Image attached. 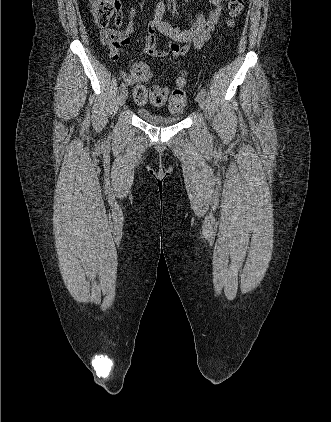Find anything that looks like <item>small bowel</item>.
I'll use <instances>...</instances> for the list:
<instances>
[{
  "label": "small bowel",
  "instance_id": "small-bowel-1",
  "mask_svg": "<svg viewBox=\"0 0 331 422\" xmlns=\"http://www.w3.org/2000/svg\"><path fill=\"white\" fill-rule=\"evenodd\" d=\"M225 1L226 0H209L213 6L212 11L207 17L203 14H197L194 24L185 30L174 29L168 23L164 22L162 20L164 5L159 4L153 18L147 24L143 53L156 59H164L169 56L180 58L186 56L191 49L202 48L210 39L212 32L219 22L224 11L223 2ZM135 16L136 9L131 8L129 11L128 24L123 30L110 28L101 31V41L103 44L109 46V56L111 60H118L120 48L130 44L131 35L134 31ZM116 24L118 27L120 26L121 16L119 17V20L116 21ZM158 32L169 39L167 41L168 49H156L155 45ZM180 44L184 45L181 46ZM131 62H133V60H131ZM120 77L127 86H134V92L142 84L133 74L129 75L122 71L120 72ZM150 100L154 104L151 98ZM146 101L147 98L144 101L137 100L140 104H144Z\"/></svg>",
  "mask_w": 331,
  "mask_h": 422
}]
</instances>
